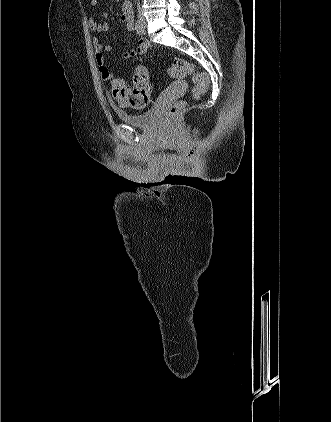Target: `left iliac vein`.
Segmentation results:
<instances>
[{"mask_svg":"<svg viewBox=\"0 0 331 422\" xmlns=\"http://www.w3.org/2000/svg\"><path fill=\"white\" fill-rule=\"evenodd\" d=\"M142 22H143V25L145 26V20L144 19H142Z\"/></svg>","mask_w":331,"mask_h":422,"instance_id":"1","label":"left iliac vein"}]
</instances>
